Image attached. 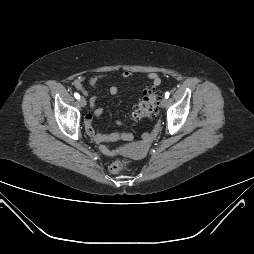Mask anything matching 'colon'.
Here are the masks:
<instances>
[{"instance_id":"colon-1","label":"colon","mask_w":254,"mask_h":254,"mask_svg":"<svg viewBox=\"0 0 254 254\" xmlns=\"http://www.w3.org/2000/svg\"><path fill=\"white\" fill-rule=\"evenodd\" d=\"M157 103L158 96L156 92L148 88L144 92L143 98L139 101V103L135 106L133 111V117L137 120H141L144 118H151L156 116L157 114ZM130 167V161L127 159H117L114 160L110 169L113 173H119L127 170Z\"/></svg>"}]
</instances>
